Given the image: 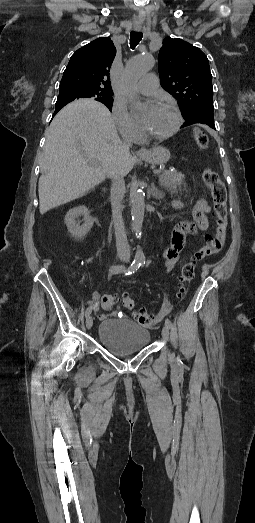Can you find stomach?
<instances>
[{
    "mask_svg": "<svg viewBox=\"0 0 255 523\" xmlns=\"http://www.w3.org/2000/svg\"><path fill=\"white\" fill-rule=\"evenodd\" d=\"M141 160L148 162V164H154V166H160V164H166L170 158V152L162 146H155L152 150H142L138 154Z\"/></svg>",
    "mask_w": 255,
    "mask_h": 523,
    "instance_id": "1",
    "label": "stomach"
}]
</instances>
